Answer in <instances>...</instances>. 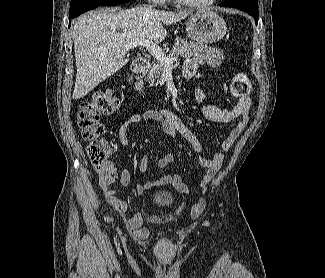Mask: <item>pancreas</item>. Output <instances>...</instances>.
<instances>
[{
  "instance_id": "obj_1",
  "label": "pancreas",
  "mask_w": 325,
  "mask_h": 278,
  "mask_svg": "<svg viewBox=\"0 0 325 278\" xmlns=\"http://www.w3.org/2000/svg\"><path fill=\"white\" fill-rule=\"evenodd\" d=\"M169 58L172 57H193L198 63L209 65H220L224 60L223 50L208 47L202 43H195L186 39L177 38L172 51L168 54ZM164 71V65L160 62L152 63L148 74V81L151 83L160 79Z\"/></svg>"
}]
</instances>
